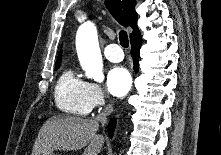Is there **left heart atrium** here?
<instances>
[{
    "label": "left heart atrium",
    "instance_id": "1",
    "mask_svg": "<svg viewBox=\"0 0 221 155\" xmlns=\"http://www.w3.org/2000/svg\"><path fill=\"white\" fill-rule=\"evenodd\" d=\"M109 92L117 97L124 96L131 87V75L124 67H114L107 75Z\"/></svg>",
    "mask_w": 221,
    "mask_h": 155
}]
</instances>
